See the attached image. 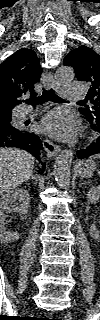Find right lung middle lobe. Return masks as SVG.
<instances>
[{"mask_svg": "<svg viewBox=\"0 0 100 320\" xmlns=\"http://www.w3.org/2000/svg\"><path fill=\"white\" fill-rule=\"evenodd\" d=\"M10 122L11 118L0 120V131L4 128L14 129V127L10 125Z\"/></svg>", "mask_w": 100, "mask_h": 320, "instance_id": "right-lung-middle-lobe-1", "label": "right lung middle lobe"}]
</instances>
